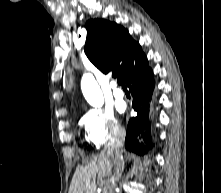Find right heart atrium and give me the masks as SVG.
<instances>
[{
  "label": "right heart atrium",
  "instance_id": "d8ad5b80",
  "mask_svg": "<svg viewBox=\"0 0 221 193\" xmlns=\"http://www.w3.org/2000/svg\"><path fill=\"white\" fill-rule=\"evenodd\" d=\"M90 142L97 146H106L124 135V127L112 111L92 109L82 118Z\"/></svg>",
  "mask_w": 221,
  "mask_h": 193
}]
</instances>
